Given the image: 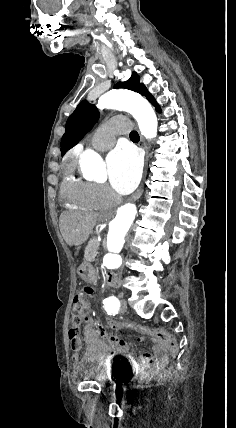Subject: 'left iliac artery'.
<instances>
[{
  "mask_svg": "<svg viewBox=\"0 0 236 428\" xmlns=\"http://www.w3.org/2000/svg\"><path fill=\"white\" fill-rule=\"evenodd\" d=\"M103 304V307L107 312L113 311L120 307V301L115 296L104 299Z\"/></svg>",
  "mask_w": 236,
  "mask_h": 428,
  "instance_id": "obj_1",
  "label": "left iliac artery"
}]
</instances>
